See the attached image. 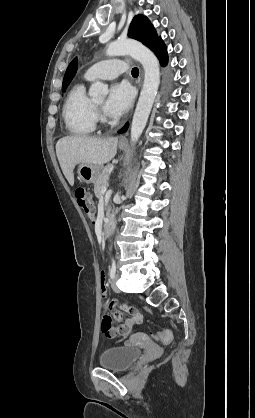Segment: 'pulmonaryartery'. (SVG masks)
<instances>
[{"mask_svg":"<svg viewBox=\"0 0 255 418\" xmlns=\"http://www.w3.org/2000/svg\"><path fill=\"white\" fill-rule=\"evenodd\" d=\"M127 64L121 59H109L92 65L85 73L88 80L114 79L127 70Z\"/></svg>","mask_w":255,"mask_h":418,"instance_id":"e3ab8cb5","label":"pulmonary artery"}]
</instances>
